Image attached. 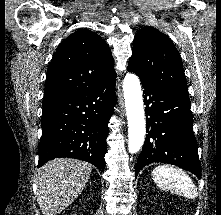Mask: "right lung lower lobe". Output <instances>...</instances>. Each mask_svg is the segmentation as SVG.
I'll list each match as a JSON object with an SVG mask.
<instances>
[{"label":"right lung lower lobe","instance_id":"right-lung-lower-lobe-1","mask_svg":"<svg viewBox=\"0 0 221 215\" xmlns=\"http://www.w3.org/2000/svg\"><path fill=\"white\" fill-rule=\"evenodd\" d=\"M115 78L42 109L38 167L50 159L69 157L104 171L108 123L116 103Z\"/></svg>","mask_w":221,"mask_h":215}]
</instances>
